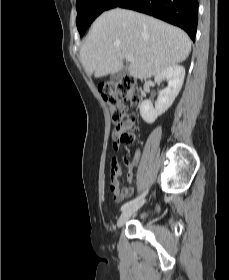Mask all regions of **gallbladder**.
<instances>
[{"mask_svg": "<svg viewBox=\"0 0 229 280\" xmlns=\"http://www.w3.org/2000/svg\"><path fill=\"white\" fill-rule=\"evenodd\" d=\"M128 74V69L127 68H122L120 71L113 73L111 75V79L112 80H120L122 79L124 76H126Z\"/></svg>", "mask_w": 229, "mask_h": 280, "instance_id": "bac80fb5", "label": "gallbladder"}]
</instances>
